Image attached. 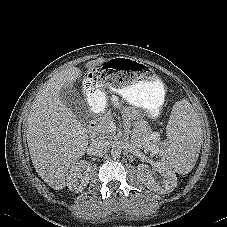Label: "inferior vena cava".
Here are the masks:
<instances>
[{
	"label": "inferior vena cava",
	"mask_w": 227,
	"mask_h": 227,
	"mask_svg": "<svg viewBox=\"0 0 227 227\" xmlns=\"http://www.w3.org/2000/svg\"><path fill=\"white\" fill-rule=\"evenodd\" d=\"M91 152L96 156H104L108 153L109 143L104 140H97L91 144Z\"/></svg>",
	"instance_id": "602c4592"
}]
</instances>
